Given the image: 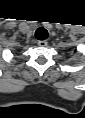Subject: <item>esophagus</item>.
Segmentation results:
<instances>
[{"mask_svg":"<svg viewBox=\"0 0 85 118\" xmlns=\"http://www.w3.org/2000/svg\"><path fill=\"white\" fill-rule=\"evenodd\" d=\"M48 42L46 40L38 41V45L41 47L47 46Z\"/></svg>","mask_w":85,"mask_h":118,"instance_id":"1","label":"esophagus"}]
</instances>
